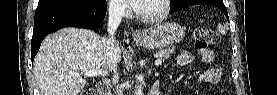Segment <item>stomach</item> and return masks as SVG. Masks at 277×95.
Here are the masks:
<instances>
[{"label":"stomach","mask_w":277,"mask_h":95,"mask_svg":"<svg viewBox=\"0 0 277 95\" xmlns=\"http://www.w3.org/2000/svg\"><path fill=\"white\" fill-rule=\"evenodd\" d=\"M185 36L182 26L175 23H163L154 26L142 33L135 42L145 49L171 47L179 43Z\"/></svg>","instance_id":"stomach-1"}]
</instances>
